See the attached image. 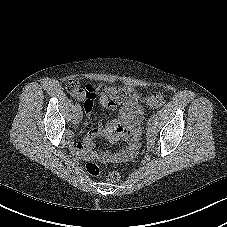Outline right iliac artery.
I'll return each mask as SVG.
<instances>
[{
	"instance_id": "82829eb1",
	"label": "right iliac artery",
	"mask_w": 227,
	"mask_h": 227,
	"mask_svg": "<svg viewBox=\"0 0 227 227\" xmlns=\"http://www.w3.org/2000/svg\"><path fill=\"white\" fill-rule=\"evenodd\" d=\"M75 109H76L77 111H80V110H81V106H80L78 103H76V104H75Z\"/></svg>"
}]
</instances>
